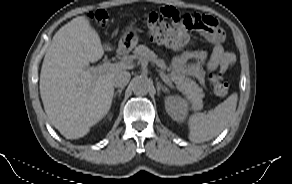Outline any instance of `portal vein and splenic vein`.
<instances>
[{
	"instance_id": "portal-vein-and-splenic-vein-1",
	"label": "portal vein and splenic vein",
	"mask_w": 292,
	"mask_h": 184,
	"mask_svg": "<svg viewBox=\"0 0 292 184\" xmlns=\"http://www.w3.org/2000/svg\"><path fill=\"white\" fill-rule=\"evenodd\" d=\"M131 67H132L131 61H120L118 63H111L110 61H106L101 66L90 68L89 71L93 73H103L106 71L114 70L116 68H131ZM160 77L165 82H168L167 76L162 71H160Z\"/></svg>"
}]
</instances>
